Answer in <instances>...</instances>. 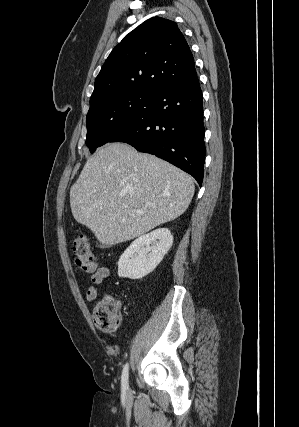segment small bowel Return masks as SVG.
<instances>
[{
    "mask_svg": "<svg viewBox=\"0 0 299 427\" xmlns=\"http://www.w3.org/2000/svg\"><path fill=\"white\" fill-rule=\"evenodd\" d=\"M80 266L82 270L91 274L90 286L86 291V301L92 303L97 299V286L110 275V271L107 267L101 266L99 261Z\"/></svg>",
    "mask_w": 299,
    "mask_h": 427,
    "instance_id": "obj_1",
    "label": "small bowel"
}]
</instances>
